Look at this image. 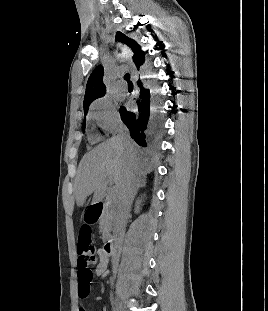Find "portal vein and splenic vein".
Segmentation results:
<instances>
[{"mask_svg":"<svg viewBox=\"0 0 268 311\" xmlns=\"http://www.w3.org/2000/svg\"><path fill=\"white\" fill-rule=\"evenodd\" d=\"M108 183H109L110 185H112L113 182H112L111 179H108ZM114 193H115V189H114V188H111L110 194H109L110 198H112V197L114 196Z\"/></svg>","mask_w":268,"mask_h":311,"instance_id":"18ae733b","label":"portal vein and splenic vein"}]
</instances>
